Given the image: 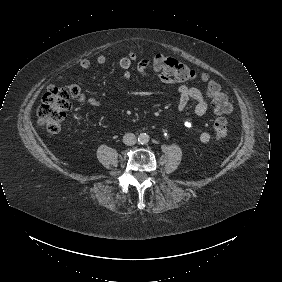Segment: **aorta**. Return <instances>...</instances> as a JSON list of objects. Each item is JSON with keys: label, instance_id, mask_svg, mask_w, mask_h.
I'll return each mask as SVG.
<instances>
[{"label": "aorta", "instance_id": "aorta-1", "mask_svg": "<svg viewBox=\"0 0 282 282\" xmlns=\"http://www.w3.org/2000/svg\"><path fill=\"white\" fill-rule=\"evenodd\" d=\"M138 143L141 145H146L148 144L149 140H150V136L149 134L145 133V132H141L138 137H137Z\"/></svg>", "mask_w": 282, "mask_h": 282}]
</instances>
